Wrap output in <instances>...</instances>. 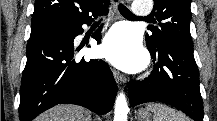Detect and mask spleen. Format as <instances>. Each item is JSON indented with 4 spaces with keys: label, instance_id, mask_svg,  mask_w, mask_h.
Segmentation results:
<instances>
[{
    "label": "spleen",
    "instance_id": "3e777b00",
    "mask_svg": "<svg viewBox=\"0 0 217 121\" xmlns=\"http://www.w3.org/2000/svg\"><path fill=\"white\" fill-rule=\"evenodd\" d=\"M147 109L154 113V121H188L181 112L160 103L150 104Z\"/></svg>",
    "mask_w": 217,
    "mask_h": 121
}]
</instances>
